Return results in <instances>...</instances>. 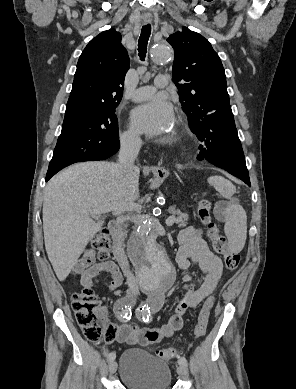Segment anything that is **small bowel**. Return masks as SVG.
I'll use <instances>...</instances> for the list:
<instances>
[{"instance_id":"small-bowel-1","label":"small bowel","mask_w":296,"mask_h":389,"mask_svg":"<svg viewBox=\"0 0 296 389\" xmlns=\"http://www.w3.org/2000/svg\"><path fill=\"white\" fill-rule=\"evenodd\" d=\"M225 214L226 205L219 203L216 208L217 217L223 219ZM178 241L180 248L176 256V262L183 272V289L174 314L166 324L159 328H146L123 323L116 333L115 340L118 343L146 346L171 337L183 327L186 311L197 307L215 289L221 278L223 265L221 259L210 250L203 238L202 231L195 226H188L179 233ZM95 260V251L86 249L81 258L75 263L72 275L79 280L82 286L89 287L97 275L102 272L109 273L111 281L108 284V289L117 293L124 281V275L120 267L113 261L97 263ZM191 261L198 264L204 277L203 283L197 289H194L192 285Z\"/></svg>"}]
</instances>
